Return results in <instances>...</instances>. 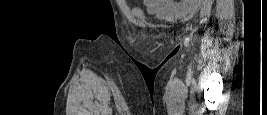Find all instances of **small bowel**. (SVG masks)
I'll use <instances>...</instances> for the list:
<instances>
[{
  "instance_id": "1",
  "label": "small bowel",
  "mask_w": 267,
  "mask_h": 115,
  "mask_svg": "<svg viewBox=\"0 0 267 115\" xmlns=\"http://www.w3.org/2000/svg\"><path fill=\"white\" fill-rule=\"evenodd\" d=\"M144 4L151 14L165 18H182L192 13L196 7V1L171 0H145Z\"/></svg>"
}]
</instances>
